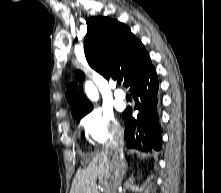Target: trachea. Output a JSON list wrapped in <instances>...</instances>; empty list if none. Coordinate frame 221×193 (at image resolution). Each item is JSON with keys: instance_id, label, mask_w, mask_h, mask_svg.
Instances as JSON below:
<instances>
[{"instance_id": "trachea-1", "label": "trachea", "mask_w": 221, "mask_h": 193, "mask_svg": "<svg viewBox=\"0 0 221 193\" xmlns=\"http://www.w3.org/2000/svg\"><path fill=\"white\" fill-rule=\"evenodd\" d=\"M117 83H118V84H120V83H121V80H120V79H118V80H117Z\"/></svg>"}]
</instances>
